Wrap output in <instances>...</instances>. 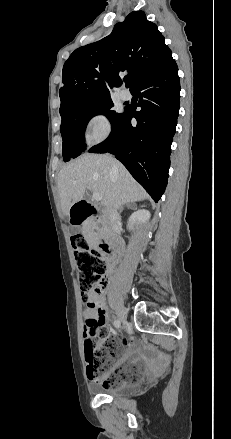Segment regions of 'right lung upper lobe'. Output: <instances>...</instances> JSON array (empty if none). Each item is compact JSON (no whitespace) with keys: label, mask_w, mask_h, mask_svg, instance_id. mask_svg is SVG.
Instances as JSON below:
<instances>
[{"label":"right lung upper lobe","mask_w":231,"mask_h":439,"mask_svg":"<svg viewBox=\"0 0 231 439\" xmlns=\"http://www.w3.org/2000/svg\"><path fill=\"white\" fill-rule=\"evenodd\" d=\"M156 24L143 11L131 12L110 35L76 49L62 70L60 113L90 100L109 98L122 84L119 73L128 72L130 90L157 71L172 55Z\"/></svg>","instance_id":"cb5924a9"}]
</instances>
